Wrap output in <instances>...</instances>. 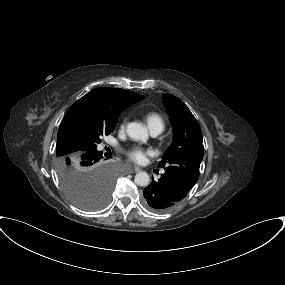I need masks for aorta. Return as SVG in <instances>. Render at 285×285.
I'll list each match as a JSON object with an SVG mask.
<instances>
[{
  "instance_id": "1",
  "label": "aorta",
  "mask_w": 285,
  "mask_h": 285,
  "mask_svg": "<svg viewBox=\"0 0 285 285\" xmlns=\"http://www.w3.org/2000/svg\"><path fill=\"white\" fill-rule=\"evenodd\" d=\"M127 134L130 138L134 140H142V141H146L149 136L147 128L137 122H131L127 125ZM149 182L150 178L148 173L142 171L138 172L135 175V183L138 186L141 187L147 186Z\"/></svg>"
}]
</instances>
